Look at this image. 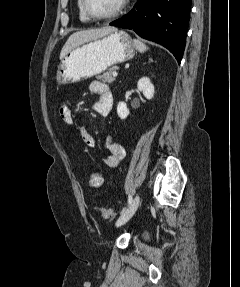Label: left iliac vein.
Instances as JSON below:
<instances>
[{"label": "left iliac vein", "mask_w": 240, "mask_h": 287, "mask_svg": "<svg viewBox=\"0 0 240 287\" xmlns=\"http://www.w3.org/2000/svg\"><path fill=\"white\" fill-rule=\"evenodd\" d=\"M140 203V197L139 195H136L129 207L121 214V216L118 218L116 222V226H122L124 225L130 218L134 215L136 212L138 206Z\"/></svg>", "instance_id": "1"}]
</instances>
